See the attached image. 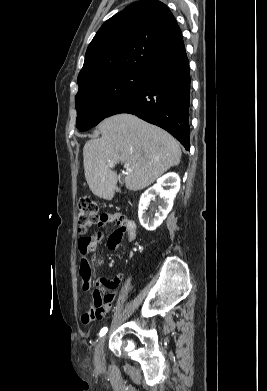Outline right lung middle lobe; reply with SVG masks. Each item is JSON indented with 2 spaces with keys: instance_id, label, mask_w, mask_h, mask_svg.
<instances>
[{
  "instance_id": "dd1d6c3e",
  "label": "right lung middle lobe",
  "mask_w": 267,
  "mask_h": 391,
  "mask_svg": "<svg viewBox=\"0 0 267 391\" xmlns=\"http://www.w3.org/2000/svg\"><path fill=\"white\" fill-rule=\"evenodd\" d=\"M146 73L121 71L87 81L75 98L76 126L86 131L96 126L143 84Z\"/></svg>"
}]
</instances>
